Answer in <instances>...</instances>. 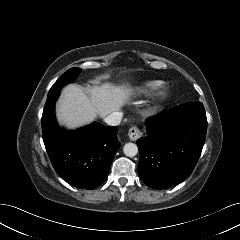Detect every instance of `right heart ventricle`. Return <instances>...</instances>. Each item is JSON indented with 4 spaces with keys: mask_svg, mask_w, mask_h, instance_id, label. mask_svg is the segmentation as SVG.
I'll return each mask as SVG.
<instances>
[{
    "mask_svg": "<svg viewBox=\"0 0 240 240\" xmlns=\"http://www.w3.org/2000/svg\"><path fill=\"white\" fill-rule=\"evenodd\" d=\"M161 86H162V83L160 81H150L143 84V90L149 93L154 90H157Z\"/></svg>",
    "mask_w": 240,
    "mask_h": 240,
    "instance_id": "obj_1",
    "label": "right heart ventricle"
}]
</instances>
